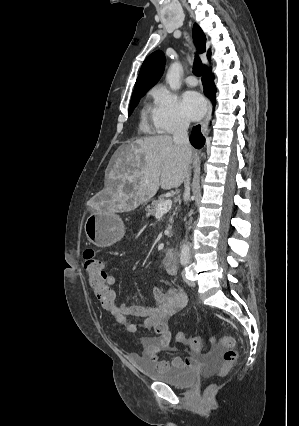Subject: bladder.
<instances>
[{"mask_svg": "<svg viewBox=\"0 0 299 426\" xmlns=\"http://www.w3.org/2000/svg\"><path fill=\"white\" fill-rule=\"evenodd\" d=\"M133 362L138 364V368L147 378L174 387L189 388L195 383L197 378L196 371L192 368L168 366L160 369L143 360Z\"/></svg>", "mask_w": 299, "mask_h": 426, "instance_id": "bladder-1", "label": "bladder"}]
</instances>
